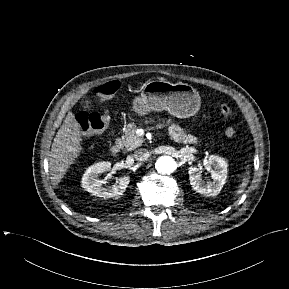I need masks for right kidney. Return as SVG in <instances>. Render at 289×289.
I'll return each mask as SVG.
<instances>
[{
	"label": "right kidney",
	"mask_w": 289,
	"mask_h": 289,
	"mask_svg": "<svg viewBox=\"0 0 289 289\" xmlns=\"http://www.w3.org/2000/svg\"><path fill=\"white\" fill-rule=\"evenodd\" d=\"M110 169L111 163L108 161L98 162L91 165L83 174L81 181L82 187L92 195L103 197L104 199L122 195L130 182V177H121L118 179L117 184L105 188L102 186L104 183L103 180H100L98 175L109 171Z\"/></svg>",
	"instance_id": "right-kidney-1"
}]
</instances>
